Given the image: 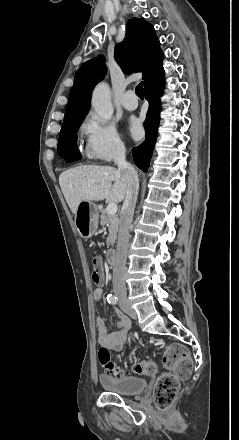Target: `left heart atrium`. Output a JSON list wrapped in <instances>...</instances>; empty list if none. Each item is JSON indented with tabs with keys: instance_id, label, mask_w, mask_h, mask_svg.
Segmentation results:
<instances>
[{
	"instance_id": "39dd6f15",
	"label": "left heart atrium",
	"mask_w": 239,
	"mask_h": 440,
	"mask_svg": "<svg viewBox=\"0 0 239 440\" xmlns=\"http://www.w3.org/2000/svg\"><path fill=\"white\" fill-rule=\"evenodd\" d=\"M128 129L134 138H137L142 132L140 122L134 118L128 121Z\"/></svg>"
}]
</instances>
